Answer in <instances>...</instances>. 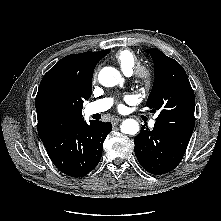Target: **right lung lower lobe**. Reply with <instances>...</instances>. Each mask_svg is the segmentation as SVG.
Segmentation results:
<instances>
[{
	"instance_id": "right-lung-lower-lobe-1",
	"label": "right lung lower lobe",
	"mask_w": 221,
	"mask_h": 221,
	"mask_svg": "<svg viewBox=\"0 0 221 221\" xmlns=\"http://www.w3.org/2000/svg\"><path fill=\"white\" fill-rule=\"evenodd\" d=\"M110 122L83 119L42 140L54 165L64 174L82 177L92 171L102 156V146L111 132Z\"/></svg>"
}]
</instances>
